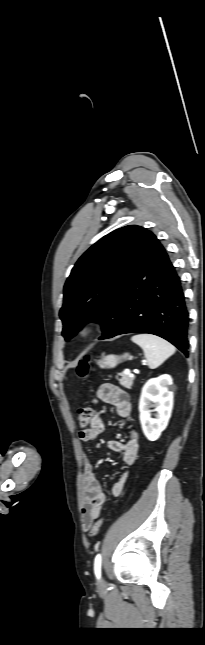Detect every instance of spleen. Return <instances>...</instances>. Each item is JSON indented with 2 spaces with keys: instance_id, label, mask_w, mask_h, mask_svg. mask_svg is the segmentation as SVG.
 Returning <instances> with one entry per match:
<instances>
[{
  "instance_id": "1",
  "label": "spleen",
  "mask_w": 205,
  "mask_h": 645,
  "mask_svg": "<svg viewBox=\"0 0 205 645\" xmlns=\"http://www.w3.org/2000/svg\"><path fill=\"white\" fill-rule=\"evenodd\" d=\"M131 340L143 349L151 369L159 367L175 353V347L172 344L152 334L134 335Z\"/></svg>"
}]
</instances>
